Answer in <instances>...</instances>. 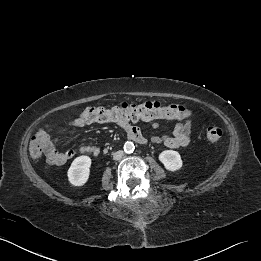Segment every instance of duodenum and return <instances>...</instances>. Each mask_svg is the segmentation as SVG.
Segmentation results:
<instances>
[{
	"label": "duodenum",
	"instance_id": "duodenum-1",
	"mask_svg": "<svg viewBox=\"0 0 261 261\" xmlns=\"http://www.w3.org/2000/svg\"><path fill=\"white\" fill-rule=\"evenodd\" d=\"M129 139L139 144H146L147 140L141 133H134L129 136Z\"/></svg>",
	"mask_w": 261,
	"mask_h": 261
}]
</instances>
